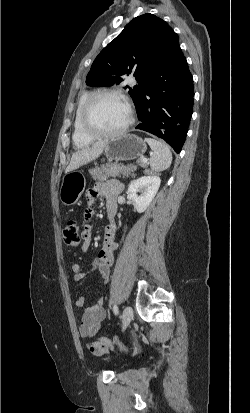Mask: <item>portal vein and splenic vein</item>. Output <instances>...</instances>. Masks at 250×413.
I'll return each mask as SVG.
<instances>
[{
  "instance_id": "portal-vein-and-splenic-vein-1",
  "label": "portal vein and splenic vein",
  "mask_w": 250,
  "mask_h": 413,
  "mask_svg": "<svg viewBox=\"0 0 250 413\" xmlns=\"http://www.w3.org/2000/svg\"><path fill=\"white\" fill-rule=\"evenodd\" d=\"M143 162H144V163H146V162H147V159H146V158H144V159H143Z\"/></svg>"
}]
</instances>
